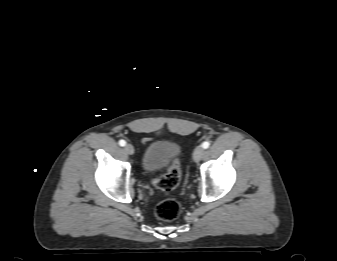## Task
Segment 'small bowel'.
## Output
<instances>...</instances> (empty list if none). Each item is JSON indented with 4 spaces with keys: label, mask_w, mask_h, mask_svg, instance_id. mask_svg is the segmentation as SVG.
Returning a JSON list of instances; mask_svg holds the SVG:
<instances>
[{
    "label": "small bowel",
    "mask_w": 337,
    "mask_h": 261,
    "mask_svg": "<svg viewBox=\"0 0 337 261\" xmlns=\"http://www.w3.org/2000/svg\"><path fill=\"white\" fill-rule=\"evenodd\" d=\"M144 142H145V143L148 142V139H145Z\"/></svg>",
    "instance_id": "obj_1"
}]
</instances>
